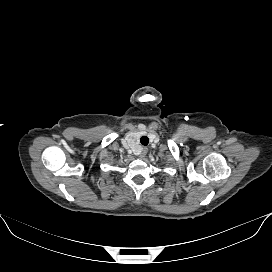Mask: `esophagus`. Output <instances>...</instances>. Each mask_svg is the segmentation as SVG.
Returning <instances> with one entry per match:
<instances>
[{"mask_svg": "<svg viewBox=\"0 0 272 272\" xmlns=\"http://www.w3.org/2000/svg\"><path fill=\"white\" fill-rule=\"evenodd\" d=\"M147 149L146 148H141V151L138 153L139 157H144L146 155Z\"/></svg>", "mask_w": 272, "mask_h": 272, "instance_id": "1", "label": "esophagus"}]
</instances>
